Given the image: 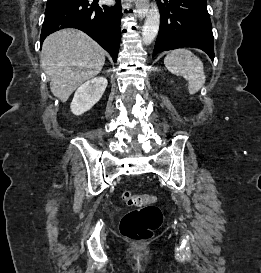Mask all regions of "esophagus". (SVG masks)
<instances>
[{"label":"esophagus","instance_id":"esophagus-1","mask_svg":"<svg viewBox=\"0 0 261 273\" xmlns=\"http://www.w3.org/2000/svg\"><path fill=\"white\" fill-rule=\"evenodd\" d=\"M148 8H149V0H139L137 2L136 14L139 19L142 20L146 16L148 12Z\"/></svg>","mask_w":261,"mask_h":273}]
</instances>
